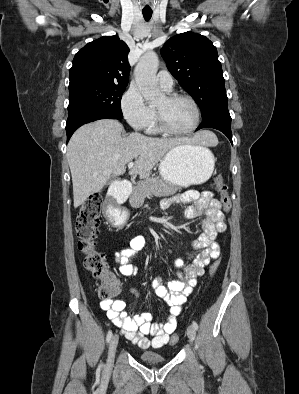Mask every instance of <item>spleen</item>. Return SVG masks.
<instances>
[{
	"label": "spleen",
	"instance_id": "obj_1",
	"mask_svg": "<svg viewBox=\"0 0 299 394\" xmlns=\"http://www.w3.org/2000/svg\"><path fill=\"white\" fill-rule=\"evenodd\" d=\"M213 142H214V140L211 139V140L209 141V145H213Z\"/></svg>",
	"mask_w": 299,
	"mask_h": 394
}]
</instances>
